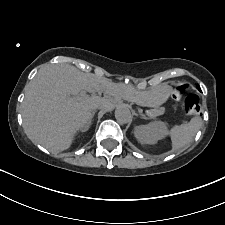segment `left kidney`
<instances>
[{"label": "left kidney", "instance_id": "obj_1", "mask_svg": "<svg viewBox=\"0 0 225 225\" xmlns=\"http://www.w3.org/2000/svg\"><path fill=\"white\" fill-rule=\"evenodd\" d=\"M167 130L166 124L161 121L150 122L146 125L137 126L134 135L141 144H156L163 138Z\"/></svg>", "mask_w": 225, "mask_h": 225}]
</instances>
